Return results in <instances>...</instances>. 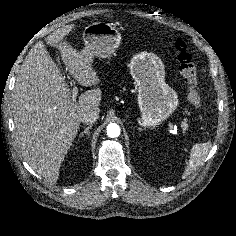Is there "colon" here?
I'll return each instance as SVG.
<instances>
[{"label": "colon", "mask_w": 236, "mask_h": 236, "mask_svg": "<svg viewBox=\"0 0 236 236\" xmlns=\"http://www.w3.org/2000/svg\"><path fill=\"white\" fill-rule=\"evenodd\" d=\"M175 48L178 53L180 73L188 88V99L192 105L197 107L201 104L202 98L199 92L196 64L184 41H177Z\"/></svg>", "instance_id": "1"}]
</instances>
